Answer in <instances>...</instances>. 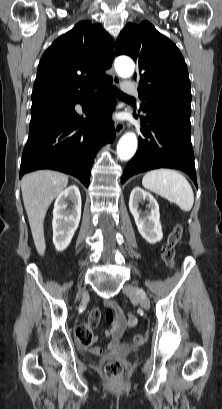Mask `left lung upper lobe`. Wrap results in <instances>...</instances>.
Returning <instances> with one entry per match:
<instances>
[{"mask_svg": "<svg viewBox=\"0 0 222 409\" xmlns=\"http://www.w3.org/2000/svg\"><path fill=\"white\" fill-rule=\"evenodd\" d=\"M129 55L138 64L134 79L146 103L143 111L179 106L191 114V88L184 58L167 37L148 21L127 24L116 41V55Z\"/></svg>", "mask_w": 222, "mask_h": 409, "instance_id": "1", "label": "left lung upper lobe"}]
</instances>
